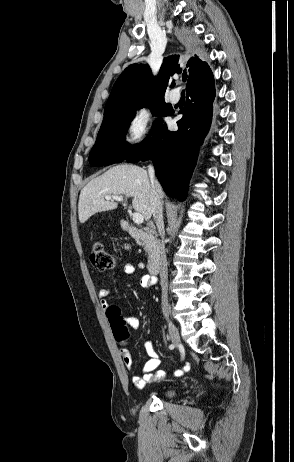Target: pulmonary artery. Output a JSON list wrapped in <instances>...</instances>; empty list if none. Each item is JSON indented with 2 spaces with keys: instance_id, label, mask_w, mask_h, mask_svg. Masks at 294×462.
I'll return each mask as SVG.
<instances>
[{
  "instance_id": "1",
  "label": "pulmonary artery",
  "mask_w": 294,
  "mask_h": 462,
  "mask_svg": "<svg viewBox=\"0 0 294 462\" xmlns=\"http://www.w3.org/2000/svg\"><path fill=\"white\" fill-rule=\"evenodd\" d=\"M180 99V93L177 89H173L169 92V100L172 103H177Z\"/></svg>"
}]
</instances>
